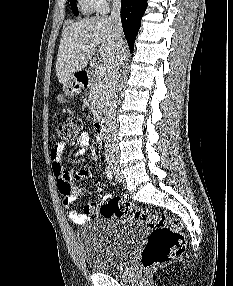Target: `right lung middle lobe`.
Masks as SVG:
<instances>
[{
    "mask_svg": "<svg viewBox=\"0 0 233 286\" xmlns=\"http://www.w3.org/2000/svg\"><path fill=\"white\" fill-rule=\"evenodd\" d=\"M70 5H71V9L74 15H78L79 12H78V8H77L75 0H70Z\"/></svg>",
    "mask_w": 233,
    "mask_h": 286,
    "instance_id": "1",
    "label": "right lung middle lobe"
}]
</instances>
